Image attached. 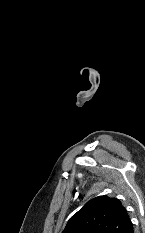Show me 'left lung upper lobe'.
<instances>
[{"mask_svg": "<svg viewBox=\"0 0 145 233\" xmlns=\"http://www.w3.org/2000/svg\"><path fill=\"white\" fill-rule=\"evenodd\" d=\"M126 209L116 198L99 196L73 215L62 233H133Z\"/></svg>", "mask_w": 145, "mask_h": 233, "instance_id": "1", "label": "left lung upper lobe"}]
</instances>
